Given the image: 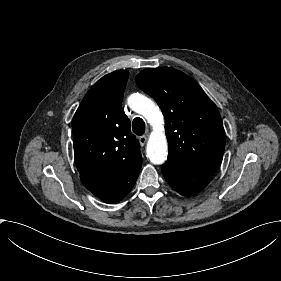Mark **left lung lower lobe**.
Listing matches in <instances>:
<instances>
[{"mask_svg": "<svg viewBox=\"0 0 281 281\" xmlns=\"http://www.w3.org/2000/svg\"><path fill=\"white\" fill-rule=\"evenodd\" d=\"M218 166L189 165L168 159L162 165V173L167 183L184 196L195 195L207 186Z\"/></svg>", "mask_w": 281, "mask_h": 281, "instance_id": "left-lung-lower-lobe-1", "label": "left lung lower lobe"}]
</instances>
